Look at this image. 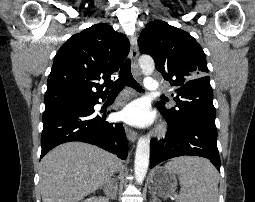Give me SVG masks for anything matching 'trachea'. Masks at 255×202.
<instances>
[{
	"instance_id": "trachea-1",
	"label": "trachea",
	"mask_w": 255,
	"mask_h": 202,
	"mask_svg": "<svg viewBox=\"0 0 255 202\" xmlns=\"http://www.w3.org/2000/svg\"><path fill=\"white\" fill-rule=\"evenodd\" d=\"M126 85L136 89L137 91L140 92L142 91L141 87L135 81L131 74V61L129 59H127L125 63L122 65L121 70L119 72V79H117L111 86L112 90L110 94L111 95L118 94Z\"/></svg>"
}]
</instances>
